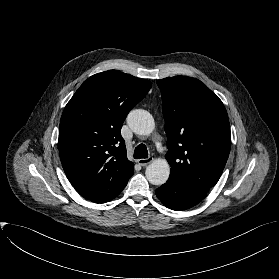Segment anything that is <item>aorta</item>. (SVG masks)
I'll return each instance as SVG.
<instances>
[{
	"label": "aorta",
	"instance_id": "1",
	"mask_svg": "<svg viewBox=\"0 0 279 279\" xmlns=\"http://www.w3.org/2000/svg\"><path fill=\"white\" fill-rule=\"evenodd\" d=\"M127 123L139 135H149L155 127L152 115L142 109L132 110L128 114ZM145 174L151 184L162 185L169 178L170 166L165 159H156L147 166Z\"/></svg>",
	"mask_w": 279,
	"mask_h": 279
}]
</instances>
